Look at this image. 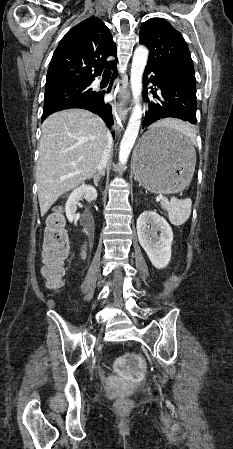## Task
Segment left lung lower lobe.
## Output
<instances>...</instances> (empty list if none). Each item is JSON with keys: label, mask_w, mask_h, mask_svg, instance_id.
Returning <instances> with one entry per match:
<instances>
[{"label": "left lung lower lobe", "mask_w": 233, "mask_h": 449, "mask_svg": "<svg viewBox=\"0 0 233 449\" xmlns=\"http://www.w3.org/2000/svg\"><path fill=\"white\" fill-rule=\"evenodd\" d=\"M150 78L147 80L149 74ZM153 83L160 89V97L152 92L157 98L149 103V110L145 114L142 128H146L155 121L163 118H177L196 124V90L191 89L187 85L181 83L173 76L147 63L143 84ZM147 90V89H146ZM144 99L149 102L147 93H143ZM180 136L174 133H155L147 139V145H160L180 143Z\"/></svg>", "instance_id": "1"}]
</instances>
